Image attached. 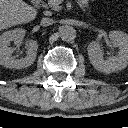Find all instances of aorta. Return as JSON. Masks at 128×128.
<instances>
[{"mask_svg": "<svg viewBox=\"0 0 128 128\" xmlns=\"http://www.w3.org/2000/svg\"><path fill=\"white\" fill-rule=\"evenodd\" d=\"M59 34L63 41H71L75 38L76 31L73 27L65 25L59 28Z\"/></svg>", "mask_w": 128, "mask_h": 128, "instance_id": "aorta-1", "label": "aorta"}]
</instances>
